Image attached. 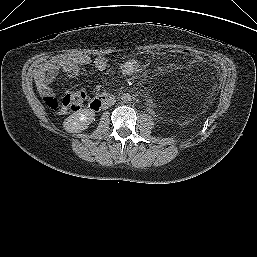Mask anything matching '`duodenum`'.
<instances>
[{
    "label": "duodenum",
    "instance_id": "obj_1",
    "mask_svg": "<svg viewBox=\"0 0 257 257\" xmlns=\"http://www.w3.org/2000/svg\"><path fill=\"white\" fill-rule=\"evenodd\" d=\"M115 95L111 93H102L94 97L90 103L89 108L93 111H99L115 102Z\"/></svg>",
    "mask_w": 257,
    "mask_h": 257
}]
</instances>
